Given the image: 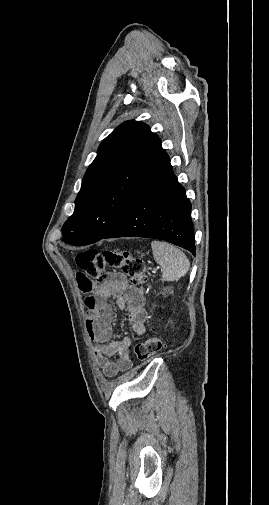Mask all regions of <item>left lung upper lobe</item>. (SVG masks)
<instances>
[{
  "mask_svg": "<svg viewBox=\"0 0 269 505\" xmlns=\"http://www.w3.org/2000/svg\"><path fill=\"white\" fill-rule=\"evenodd\" d=\"M158 140L149 126L126 121L100 144L87 169L75 210L62 227L63 239L75 246L102 239L131 198Z\"/></svg>",
  "mask_w": 269,
  "mask_h": 505,
  "instance_id": "left-lung-upper-lobe-1",
  "label": "left lung upper lobe"
}]
</instances>
